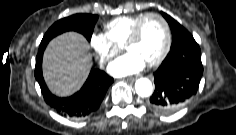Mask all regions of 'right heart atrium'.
<instances>
[{"mask_svg": "<svg viewBox=\"0 0 236 135\" xmlns=\"http://www.w3.org/2000/svg\"><path fill=\"white\" fill-rule=\"evenodd\" d=\"M89 43L95 52L98 62L102 66L109 62L120 50L103 33H92Z\"/></svg>", "mask_w": 236, "mask_h": 135, "instance_id": "obj_1", "label": "right heart atrium"}]
</instances>
